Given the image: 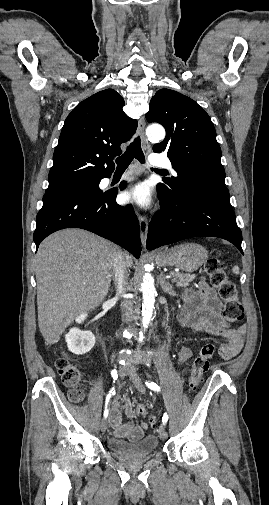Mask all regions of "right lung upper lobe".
<instances>
[{"instance_id":"right-lung-upper-lobe-1","label":"right lung upper lobe","mask_w":269,"mask_h":505,"mask_svg":"<svg viewBox=\"0 0 269 505\" xmlns=\"http://www.w3.org/2000/svg\"><path fill=\"white\" fill-rule=\"evenodd\" d=\"M125 102L113 89L80 102L68 115L53 154L47 190L111 175L120 145L135 133L137 121L123 111Z\"/></svg>"}]
</instances>
